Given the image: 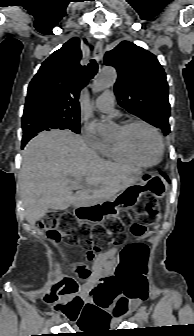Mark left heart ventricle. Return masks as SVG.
<instances>
[{
  "label": "left heart ventricle",
  "mask_w": 194,
  "mask_h": 336,
  "mask_svg": "<svg viewBox=\"0 0 194 336\" xmlns=\"http://www.w3.org/2000/svg\"><path fill=\"white\" fill-rule=\"evenodd\" d=\"M125 138L136 153L145 162H154L159 157V143L155 134L144 126H134L126 133L121 129L118 132L116 142Z\"/></svg>",
  "instance_id": "1"
}]
</instances>
